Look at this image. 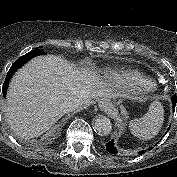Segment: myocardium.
<instances>
[{
    "mask_svg": "<svg viewBox=\"0 0 177 177\" xmlns=\"http://www.w3.org/2000/svg\"><path fill=\"white\" fill-rule=\"evenodd\" d=\"M131 80L135 82L143 91H151L154 88V83L152 81H143L137 77H131Z\"/></svg>",
    "mask_w": 177,
    "mask_h": 177,
    "instance_id": "obj_1",
    "label": "myocardium"
}]
</instances>
